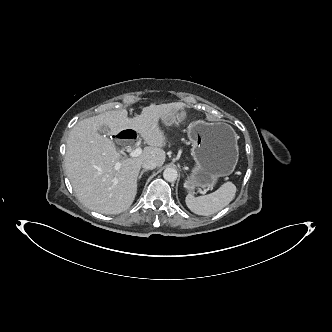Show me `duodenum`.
Wrapping results in <instances>:
<instances>
[{"mask_svg":"<svg viewBox=\"0 0 332 332\" xmlns=\"http://www.w3.org/2000/svg\"><path fill=\"white\" fill-rule=\"evenodd\" d=\"M121 135H123L122 136L123 139L131 140V139L135 138L136 133L134 130L128 129V130L122 132Z\"/></svg>","mask_w":332,"mask_h":332,"instance_id":"1","label":"duodenum"}]
</instances>
